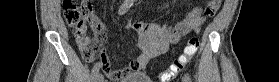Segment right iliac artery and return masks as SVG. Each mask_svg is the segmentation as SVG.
<instances>
[{
	"mask_svg": "<svg viewBox=\"0 0 279 82\" xmlns=\"http://www.w3.org/2000/svg\"><path fill=\"white\" fill-rule=\"evenodd\" d=\"M134 0H125L123 4L120 6L118 14L123 15L126 13L129 8L133 5ZM99 70H100V63H96L94 67L92 68V78L96 81L97 77L99 76Z\"/></svg>",
	"mask_w": 279,
	"mask_h": 82,
	"instance_id": "82829eb1",
	"label": "right iliac artery"
}]
</instances>
